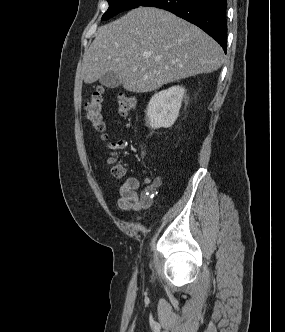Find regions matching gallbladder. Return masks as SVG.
Instances as JSON below:
<instances>
[{
    "instance_id": "obj_1",
    "label": "gallbladder",
    "mask_w": 285,
    "mask_h": 332,
    "mask_svg": "<svg viewBox=\"0 0 285 332\" xmlns=\"http://www.w3.org/2000/svg\"><path fill=\"white\" fill-rule=\"evenodd\" d=\"M99 82L106 88L113 89L121 84V78L115 72L109 71L99 79Z\"/></svg>"
}]
</instances>
